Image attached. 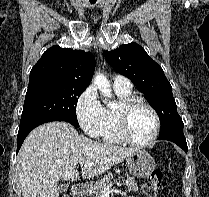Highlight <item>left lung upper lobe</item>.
<instances>
[{
  "mask_svg": "<svg viewBox=\"0 0 209 197\" xmlns=\"http://www.w3.org/2000/svg\"><path fill=\"white\" fill-rule=\"evenodd\" d=\"M103 55L118 73L128 77L146 95L148 103L160 117V135L183 131V121L177 112L172 87L161 66L140 45H121L115 50L105 51Z\"/></svg>",
  "mask_w": 209,
  "mask_h": 197,
  "instance_id": "5c2ea615",
  "label": "left lung upper lobe"
}]
</instances>
